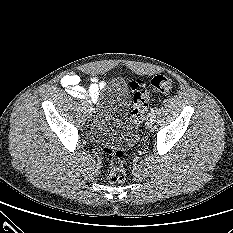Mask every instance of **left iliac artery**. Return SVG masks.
Wrapping results in <instances>:
<instances>
[{
	"label": "left iliac artery",
	"instance_id": "left-iliac-artery-1",
	"mask_svg": "<svg viewBox=\"0 0 233 233\" xmlns=\"http://www.w3.org/2000/svg\"><path fill=\"white\" fill-rule=\"evenodd\" d=\"M157 111H158V108H157V107H154V108L151 109V113H152V114L157 113Z\"/></svg>",
	"mask_w": 233,
	"mask_h": 233
}]
</instances>
